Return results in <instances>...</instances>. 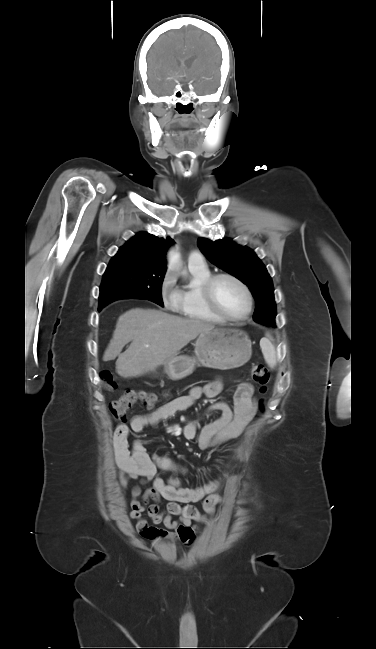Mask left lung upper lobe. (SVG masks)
Returning a JSON list of instances; mask_svg holds the SVG:
<instances>
[{
    "instance_id": "5c2ea615",
    "label": "left lung upper lobe",
    "mask_w": 376,
    "mask_h": 649,
    "mask_svg": "<svg viewBox=\"0 0 376 649\" xmlns=\"http://www.w3.org/2000/svg\"><path fill=\"white\" fill-rule=\"evenodd\" d=\"M198 246L210 262L241 280L252 291L256 299L254 320L275 326L276 304L272 279L257 255L230 239L213 242L199 238Z\"/></svg>"
}]
</instances>
